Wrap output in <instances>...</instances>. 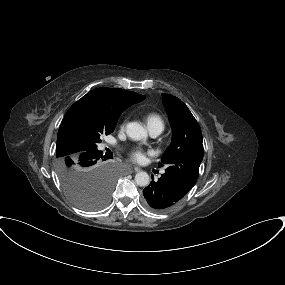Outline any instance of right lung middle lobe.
I'll return each instance as SVG.
<instances>
[{
  "label": "right lung middle lobe",
  "instance_id": "obj_1",
  "mask_svg": "<svg viewBox=\"0 0 285 285\" xmlns=\"http://www.w3.org/2000/svg\"><path fill=\"white\" fill-rule=\"evenodd\" d=\"M115 125L80 126L56 148V171L61 185L70 200L84 210H98L108 203L115 176L105 163L102 168L106 170L86 168L79 156L87 150H98L101 136L112 133Z\"/></svg>",
  "mask_w": 285,
  "mask_h": 285
}]
</instances>
